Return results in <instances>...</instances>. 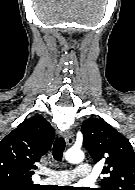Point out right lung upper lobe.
I'll return each instance as SVG.
<instances>
[{"instance_id":"1","label":"right lung upper lobe","mask_w":135,"mask_h":190,"mask_svg":"<svg viewBox=\"0 0 135 190\" xmlns=\"http://www.w3.org/2000/svg\"><path fill=\"white\" fill-rule=\"evenodd\" d=\"M55 131L41 116L24 120L0 142V184L35 186V165L50 149Z\"/></svg>"}]
</instances>
